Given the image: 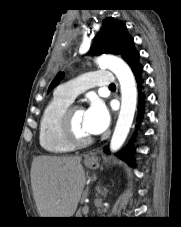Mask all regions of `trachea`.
<instances>
[{
  "instance_id": "trachea-1",
  "label": "trachea",
  "mask_w": 181,
  "mask_h": 227,
  "mask_svg": "<svg viewBox=\"0 0 181 227\" xmlns=\"http://www.w3.org/2000/svg\"><path fill=\"white\" fill-rule=\"evenodd\" d=\"M109 88H116L115 84L109 85Z\"/></svg>"
}]
</instances>
